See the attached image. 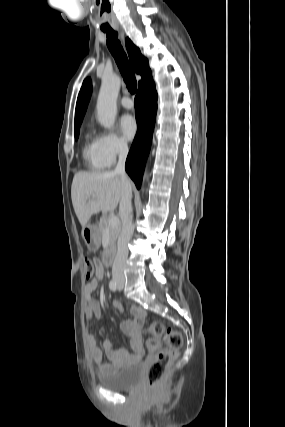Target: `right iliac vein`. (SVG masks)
<instances>
[{
  "instance_id": "right-iliac-vein-1",
  "label": "right iliac vein",
  "mask_w": 285,
  "mask_h": 427,
  "mask_svg": "<svg viewBox=\"0 0 285 427\" xmlns=\"http://www.w3.org/2000/svg\"><path fill=\"white\" fill-rule=\"evenodd\" d=\"M115 280L119 283V282H123L121 279L119 278H115Z\"/></svg>"
}]
</instances>
